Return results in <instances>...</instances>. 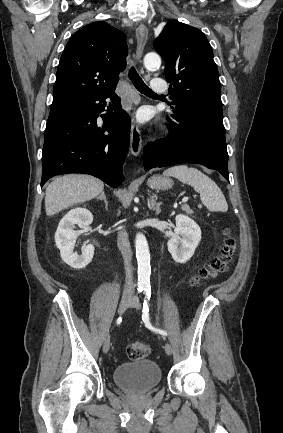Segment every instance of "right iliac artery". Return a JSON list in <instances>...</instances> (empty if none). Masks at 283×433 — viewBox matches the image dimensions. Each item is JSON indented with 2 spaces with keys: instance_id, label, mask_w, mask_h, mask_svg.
Listing matches in <instances>:
<instances>
[{
  "instance_id": "right-iliac-artery-1",
  "label": "right iliac artery",
  "mask_w": 283,
  "mask_h": 433,
  "mask_svg": "<svg viewBox=\"0 0 283 433\" xmlns=\"http://www.w3.org/2000/svg\"><path fill=\"white\" fill-rule=\"evenodd\" d=\"M143 290V288H138V292H141ZM122 321V318L121 317H119L118 319H117V323H119V322H121Z\"/></svg>"
}]
</instances>
